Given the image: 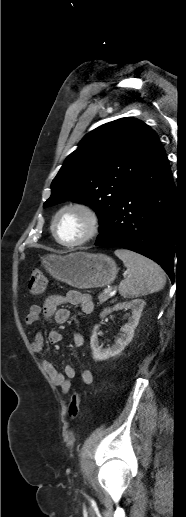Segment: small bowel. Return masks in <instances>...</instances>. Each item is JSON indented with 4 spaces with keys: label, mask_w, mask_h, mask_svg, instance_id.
Masks as SVG:
<instances>
[{
    "label": "small bowel",
    "mask_w": 186,
    "mask_h": 517,
    "mask_svg": "<svg viewBox=\"0 0 186 517\" xmlns=\"http://www.w3.org/2000/svg\"><path fill=\"white\" fill-rule=\"evenodd\" d=\"M64 304L80 306L82 312L85 314L92 313L94 309L91 295L78 291H70L65 295L48 296L44 298L41 304L32 305L25 317V324L29 326L37 323L40 320L41 315H44L46 318H54V320L59 324L66 323L70 319L71 312L68 308L59 307ZM61 340L62 335L59 331L54 329L49 331L48 342L50 344H58ZM83 344V336L79 333H75L73 335L74 348H80ZM32 349L38 354L43 352L44 337L42 333L38 332L34 335L32 340ZM42 365L49 376L51 383L58 386L62 393L68 394L72 387V379L76 376L74 367L72 365H66L64 367V373H61L48 359H43ZM80 378L82 383L85 385H89L93 381V375L88 369H83L81 371Z\"/></svg>",
    "instance_id": "1"
}]
</instances>
